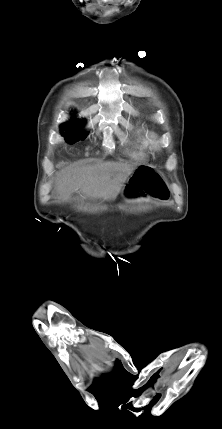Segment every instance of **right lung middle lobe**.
I'll return each mask as SVG.
<instances>
[{
  "label": "right lung middle lobe",
  "instance_id": "obj_1",
  "mask_svg": "<svg viewBox=\"0 0 222 429\" xmlns=\"http://www.w3.org/2000/svg\"><path fill=\"white\" fill-rule=\"evenodd\" d=\"M82 121H71L61 125V131L64 136V139L69 144H74L78 140H84L86 137L84 131L81 129L83 126Z\"/></svg>",
  "mask_w": 222,
  "mask_h": 429
}]
</instances>
